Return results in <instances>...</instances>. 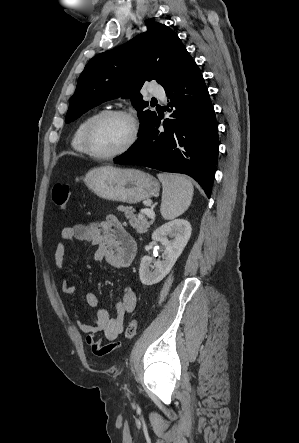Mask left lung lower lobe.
<instances>
[{
    "mask_svg": "<svg viewBox=\"0 0 299 443\" xmlns=\"http://www.w3.org/2000/svg\"><path fill=\"white\" fill-rule=\"evenodd\" d=\"M165 89L171 115L151 120L135 144L114 162L143 165L194 178L210 198L218 158V127L203 76L193 64Z\"/></svg>",
    "mask_w": 299,
    "mask_h": 443,
    "instance_id": "1",
    "label": "left lung lower lobe"
}]
</instances>
